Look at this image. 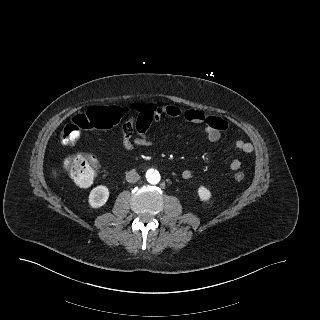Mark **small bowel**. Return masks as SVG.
I'll list each match as a JSON object with an SVG mask.
<instances>
[{"mask_svg":"<svg viewBox=\"0 0 320 320\" xmlns=\"http://www.w3.org/2000/svg\"><path fill=\"white\" fill-rule=\"evenodd\" d=\"M161 115H167L169 117H183L186 121L195 124L205 125V134L209 141L216 142L221 138L222 132L227 128V122L218 117L207 116L203 112L195 109H188L182 111L176 106H154L148 105L140 109L137 116L130 121H127L122 126V145L126 150H134L137 146H150L152 140L148 135L149 127L152 123L159 120ZM138 117H143L148 120V125L137 128L135 121ZM136 129V133L134 132ZM235 148L243 154H249L253 150V146L249 142L243 140H237L235 142ZM230 169L233 171L238 170L241 167V161L234 159L230 162ZM184 179H191L193 173L189 169H185L182 173Z\"/></svg>","mask_w":320,"mask_h":320,"instance_id":"1","label":"small bowel"}]
</instances>
